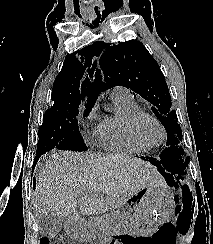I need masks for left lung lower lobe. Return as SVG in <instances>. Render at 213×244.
Masks as SVG:
<instances>
[{"mask_svg": "<svg viewBox=\"0 0 213 244\" xmlns=\"http://www.w3.org/2000/svg\"><path fill=\"white\" fill-rule=\"evenodd\" d=\"M149 161L155 165L162 175L165 177L166 181L174 186H179L183 181L178 180L176 176H174L172 172V162L169 154L167 152H162L159 157L151 158L148 157ZM186 190H188V186L185 185Z\"/></svg>", "mask_w": 213, "mask_h": 244, "instance_id": "left-lung-lower-lobe-1", "label": "left lung lower lobe"}]
</instances>
